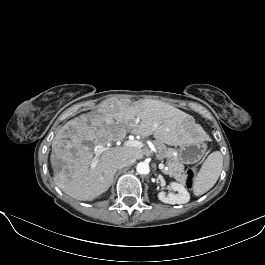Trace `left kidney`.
I'll return each mask as SVG.
<instances>
[{
    "mask_svg": "<svg viewBox=\"0 0 265 265\" xmlns=\"http://www.w3.org/2000/svg\"><path fill=\"white\" fill-rule=\"evenodd\" d=\"M170 189L177 193H169L166 195L164 192L158 193V199L167 204H185L190 200V194L187 189L177 182H170Z\"/></svg>",
    "mask_w": 265,
    "mask_h": 265,
    "instance_id": "1",
    "label": "left kidney"
}]
</instances>
